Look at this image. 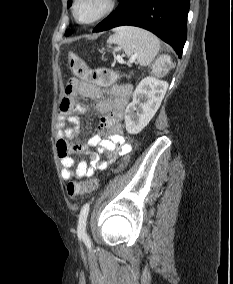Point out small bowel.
<instances>
[{"label": "small bowel", "instance_id": "1", "mask_svg": "<svg viewBox=\"0 0 233 284\" xmlns=\"http://www.w3.org/2000/svg\"><path fill=\"white\" fill-rule=\"evenodd\" d=\"M130 94L131 86L127 84L112 86L108 95L104 96L103 91L96 85L77 78L70 79L58 114L61 127L65 121L72 125L61 130L57 142L63 180L90 177L96 170L105 169L119 155L130 152L131 145L121 126ZM79 96L95 101V109L101 114L99 132L93 135L88 143L70 144L68 139L74 138L79 132V115L86 112V108L78 101ZM90 147H93L94 151H91ZM103 153H106L107 157L100 160ZM80 155H87L88 161H80L74 169V156Z\"/></svg>", "mask_w": 233, "mask_h": 284}]
</instances>
